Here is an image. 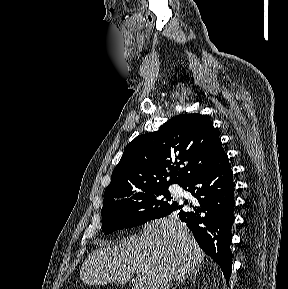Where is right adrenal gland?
I'll list each match as a JSON object with an SVG mask.
<instances>
[{
  "mask_svg": "<svg viewBox=\"0 0 288 289\" xmlns=\"http://www.w3.org/2000/svg\"><path fill=\"white\" fill-rule=\"evenodd\" d=\"M196 273H197V271H195V274H196ZM186 279H192V276H191L190 273H188L186 276L180 278L179 281L176 283V285H175V287H174L173 289H176L177 286H178L180 283H182L184 280H186Z\"/></svg>",
  "mask_w": 288,
  "mask_h": 289,
  "instance_id": "2a0ac1e0",
  "label": "right adrenal gland"
}]
</instances>
